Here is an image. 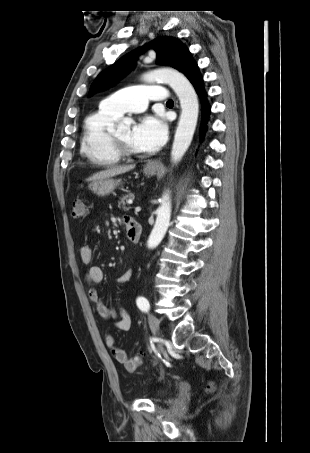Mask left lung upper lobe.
<instances>
[{
  "instance_id": "obj_1",
  "label": "left lung upper lobe",
  "mask_w": 310,
  "mask_h": 453,
  "mask_svg": "<svg viewBox=\"0 0 310 453\" xmlns=\"http://www.w3.org/2000/svg\"><path fill=\"white\" fill-rule=\"evenodd\" d=\"M157 53V63L168 65L181 71L185 62L191 57L189 50L178 39L158 37L149 44ZM139 51L129 53L101 72L90 87L89 95L115 84L133 67Z\"/></svg>"
}]
</instances>
